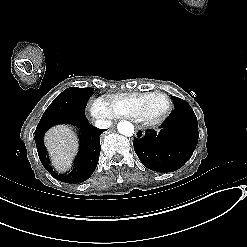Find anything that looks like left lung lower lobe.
I'll return each mask as SVG.
<instances>
[{
    "mask_svg": "<svg viewBox=\"0 0 247 247\" xmlns=\"http://www.w3.org/2000/svg\"><path fill=\"white\" fill-rule=\"evenodd\" d=\"M134 150L141 163L157 172H173L192 156L198 142L197 117L191 107L175 109L160 132L138 133Z\"/></svg>",
    "mask_w": 247,
    "mask_h": 247,
    "instance_id": "0a47b994",
    "label": "left lung lower lobe"
}]
</instances>
